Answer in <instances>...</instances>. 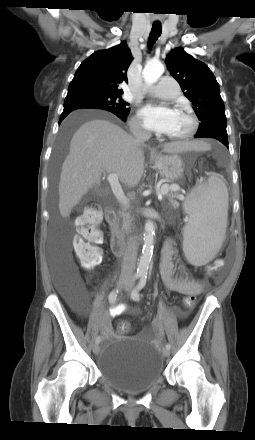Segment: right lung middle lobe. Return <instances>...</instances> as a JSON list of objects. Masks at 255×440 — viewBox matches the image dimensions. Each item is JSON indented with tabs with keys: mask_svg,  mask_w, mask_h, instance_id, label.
Segmentation results:
<instances>
[{
	"mask_svg": "<svg viewBox=\"0 0 255 440\" xmlns=\"http://www.w3.org/2000/svg\"><path fill=\"white\" fill-rule=\"evenodd\" d=\"M127 102L123 101L120 94H108L92 92L78 96L66 97L64 107L82 106L97 107L104 110L117 112L121 115H127L129 108Z\"/></svg>",
	"mask_w": 255,
	"mask_h": 440,
	"instance_id": "obj_1",
	"label": "right lung middle lobe"
}]
</instances>
